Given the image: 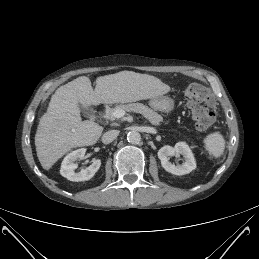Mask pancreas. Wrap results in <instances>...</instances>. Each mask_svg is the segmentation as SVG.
<instances>
[{
  "label": "pancreas",
  "mask_w": 259,
  "mask_h": 259,
  "mask_svg": "<svg viewBox=\"0 0 259 259\" xmlns=\"http://www.w3.org/2000/svg\"><path fill=\"white\" fill-rule=\"evenodd\" d=\"M123 110L126 112H136L142 114L152 125L158 126L160 125V122L163 121V117L158 114L156 111L152 110L146 105H143L142 103H131L126 105H118L115 108H110L108 111H106V115L110 120H114L115 117H113L112 113L115 110Z\"/></svg>",
  "instance_id": "1"
}]
</instances>
